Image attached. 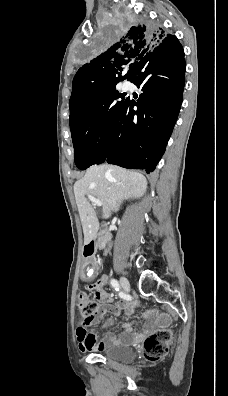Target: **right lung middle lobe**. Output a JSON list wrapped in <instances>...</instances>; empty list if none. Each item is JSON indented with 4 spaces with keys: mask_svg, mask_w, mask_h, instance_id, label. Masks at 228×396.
Here are the masks:
<instances>
[{
    "mask_svg": "<svg viewBox=\"0 0 228 396\" xmlns=\"http://www.w3.org/2000/svg\"><path fill=\"white\" fill-rule=\"evenodd\" d=\"M125 22L115 26L110 35L101 39L94 49L102 51L127 30ZM133 28V27H132ZM115 85L101 94L87 109L70 119L76 166L85 170L93 164L104 162L109 135L125 100ZM121 98L120 101L117 99Z\"/></svg>",
    "mask_w": 228,
    "mask_h": 396,
    "instance_id": "dd1d6c3e",
    "label": "right lung middle lobe"
}]
</instances>
